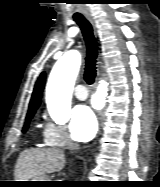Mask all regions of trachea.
<instances>
[{
  "label": "trachea",
  "instance_id": "3493384b",
  "mask_svg": "<svg viewBox=\"0 0 160 187\" xmlns=\"http://www.w3.org/2000/svg\"><path fill=\"white\" fill-rule=\"evenodd\" d=\"M74 21L81 29L87 47L84 79L88 84H93L96 77L97 41L91 23L85 17H74Z\"/></svg>",
  "mask_w": 160,
  "mask_h": 187
}]
</instances>
